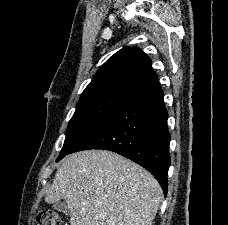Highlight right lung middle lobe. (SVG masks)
I'll return each mask as SVG.
<instances>
[{
    "mask_svg": "<svg viewBox=\"0 0 228 225\" xmlns=\"http://www.w3.org/2000/svg\"><path fill=\"white\" fill-rule=\"evenodd\" d=\"M140 90L125 83H108L85 89L69 122L57 161L69 154L80 139Z\"/></svg>",
    "mask_w": 228,
    "mask_h": 225,
    "instance_id": "dd1d6c3e",
    "label": "right lung middle lobe"
}]
</instances>
